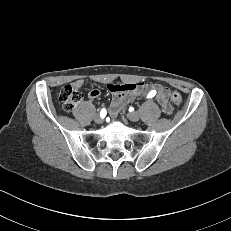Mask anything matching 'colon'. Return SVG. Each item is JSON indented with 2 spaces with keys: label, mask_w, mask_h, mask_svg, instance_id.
Wrapping results in <instances>:
<instances>
[{
  "label": "colon",
  "mask_w": 231,
  "mask_h": 231,
  "mask_svg": "<svg viewBox=\"0 0 231 231\" xmlns=\"http://www.w3.org/2000/svg\"><path fill=\"white\" fill-rule=\"evenodd\" d=\"M58 97L63 109L70 111L82 100L83 95L75 86L66 85L60 89ZM170 99L176 106H180L182 103V96L177 91L170 93Z\"/></svg>",
  "instance_id": "5ec220e1"
}]
</instances>
